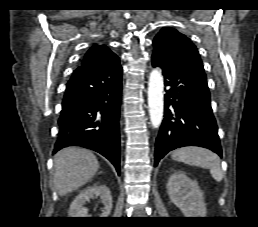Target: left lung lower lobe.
Returning <instances> with one entry per match:
<instances>
[{
    "label": "left lung lower lobe",
    "mask_w": 258,
    "mask_h": 227,
    "mask_svg": "<svg viewBox=\"0 0 258 227\" xmlns=\"http://www.w3.org/2000/svg\"><path fill=\"white\" fill-rule=\"evenodd\" d=\"M152 65L162 69L164 84L169 88L156 139L155 165L169 151L183 146L205 147L222 156L205 74L160 50L153 51Z\"/></svg>",
    "instance_id": "left-lung-lower-lobe-1"
}]
</instances>
